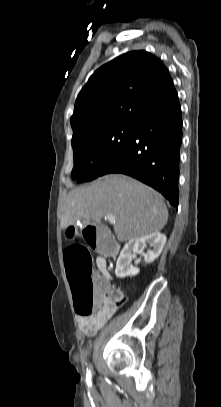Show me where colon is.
<instances>
[{
    "mask_svg": "<svg viewBox=\"0 0 221 407\" xmlns=\"http://www.w3.org/2000/svg\"><path fill=\"white\" fill-rule=\"evenodd\" d=\"M73 230V231H72ZM65 230V239H72L73 232H83L85 245L96 249V255H113L115 236L104 222H93L92 225L73 227ZM65 267L71 285L76 312L80 316H91L104 307H117L123 298L113 295L99 285L93 273L92 258L89 250L73 244L65 252Z\"/></svg>",
    "mask_w": 221,
    "mask_h": 407,
    "instance_id": "1",
    "label": "colon"
}]
</instances>
